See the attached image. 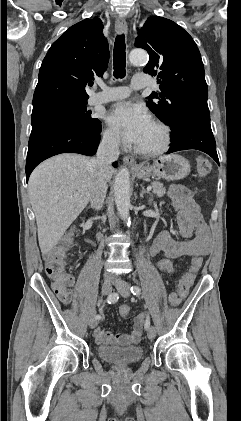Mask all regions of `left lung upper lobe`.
Masks as SVG:
<instances>
[{"label": "left lung upper lobe", "instance_id": "1", "mask_svg": "<svg viewBox=\"0 0 241 421\" xmlns=\"http://www.w3.org/2000/svg\"><path fill=\"white\" fill-rule=\"evenodd\" d=\"M134 45L149 54L144 72L158 77L161 92L151 93L147 104L171 127V137L180 133L194 114L209 113L201 55L182 27L169 19L152 16L140 29Z\"/></svg>", "mask_w": 241, "mask_h": 421}]
</instances>
